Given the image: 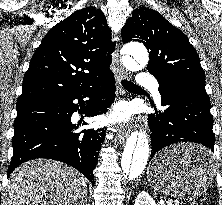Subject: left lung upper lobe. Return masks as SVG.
<instances>
[{
    "label": "left lung upper lobe",
    "mask_w": 222,
    "mask_h": 205,
    "mask_svg": "<svg viewBox=\"0 0 222 205\" xmlns=\"http://www.w3.org/2000/svg\"><path fill=\"white\" fill-rule=\"evenodd\" d=\"M124 43L142 42L149 52L147 70L159 81L205 90V73L188 38L160 13L141 7L132 12L121 31Z\"/></svg>",
    "instance_id": "left-lung-upper-lobe-1"
}]
</instances>
